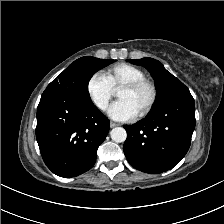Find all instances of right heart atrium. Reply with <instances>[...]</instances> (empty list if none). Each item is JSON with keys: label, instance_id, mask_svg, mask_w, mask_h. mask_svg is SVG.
<instances>
[{"label": "right heart atrium", "instance_id": "1", "mask_svg": "<svg viewBox=\"0 0 224 224\" xmlns=\"http://www.w3.org/2000/svg\"><path fill=\"white\" fill-rule=\"evenodd\" d=\"M86 91L92 103L100 111L107 109L114 94V90L105 75L99 72L89 77L86 84Z\"/></svg>", "mask_w": 224, "mask_h": 224}]
</instances>
